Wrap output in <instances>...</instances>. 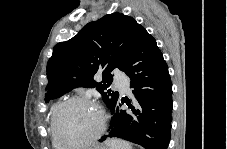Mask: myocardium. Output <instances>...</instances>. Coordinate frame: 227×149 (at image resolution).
<instances>
[{"label":"myocardium","mask_w":227,"mask_h":149,"mask_svg":"<svg viewBox=\"0 0 227 149\" xmlns=\"http://www.w3.org/2000/svg\"><path fill=\"white\" fill-rule=\"evenodd\" d=\"M76 102L89 103V104H92L93 106H95L100 115V123H99V126L96 129V131L88 138H86L84 140H80V141H75V142H66L63 140V138L61 137L60 132H59V118H60V115H61L63 109L66 106H68L72 103H76ZM106 119H107L106 112L97 101H95L91 98L85 97V96L70 97V98L64 100L63 102H61L57 106V108L54 112L53 120H52L54 137L60 146H65V147L90 146L95 141H97L100 138V136L103 134V132L105 131Z\"/></svg>","instance_id":"1"}]
</instances>
